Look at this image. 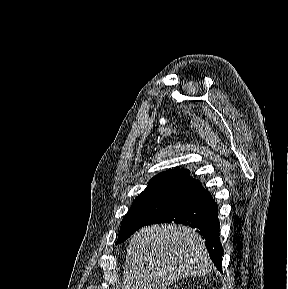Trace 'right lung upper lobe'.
<instances>
[{"instance_id": "right-lung-upper-lobe-1", "label": "right lung upper lobe", "mask_w": 288, "mask_h": 289, "mask_svg": "<svg viewBox=\"0 0 288 289\" xmlns=\"http://www.w3.org/2000/svg\"><path fill=\"white\" fill-rule=\"evenodd\" d=\"M199 181L190 177L187 169H172L161 172L154 176L148 183L145 190L155 188H173L181 190H190Z\"/></svg>"}]
</instances>
